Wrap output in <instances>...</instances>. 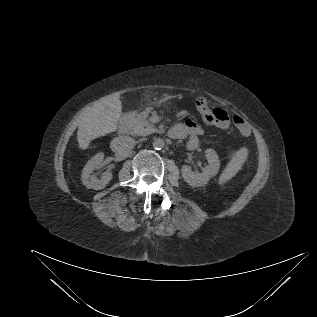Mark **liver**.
I'll return each mask as SVG.
<instances>
[{
    "label": "liver",
    "mask_w": 317,
    "mask_h": 317,
    "mask_svg": "<svg viewBox=\"0 0 317 317\" xmlns=\"http://www.w3.org/2000/svg\"><path fill=\"white\" fill-rule=\"evenodd\" d=\"M121 112L122 102L117 93L102 97L85 108L77 132L79 148L85 150L92 140L116 131Z\"/></svg>",
    "instance_id": "1"
}]
</instances>
